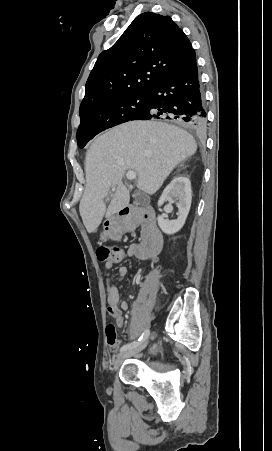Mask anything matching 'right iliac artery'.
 Returning a JSON list of instances; mask_svg holds the SVG:
<instances>
[{
  "instance_id": "obj_1",
  "label": "right iliac artery",
  "mask_w": 272,
  "mask_h": 451,
  "mask_svg": "<svg viewBox=\"0 0 272 451\" xmlns=\"http://www.w3.org/2000/svg\"><path fill=\"white\" fill-rule=\"evenodd\" d=\"M149 333H150L149 330H145V332L141 335V337H140L137 341H134V342H131V343H128V344L123 345V346L121 347V349H120V352H124V351H126V350H128V349L137 347V346H138L139 344H141L145 339L148 338Z\"/></svg>"
}]
</instances>
